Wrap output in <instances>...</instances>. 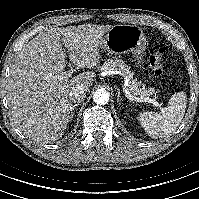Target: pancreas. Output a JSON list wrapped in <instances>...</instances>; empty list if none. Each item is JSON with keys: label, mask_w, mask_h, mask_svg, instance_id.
<instances>
[{"label": "pancreas", "mask_w": 199, "mask_h": 199, "mask_svg": "<svg viewBox=\"0 0 199 199\" xmlns=\"http://www.w3.org/2000/svg\"><path fill=\"white\" fill-rule=\"evenodd\" d=\"M101 70H113L119 71L122 75H124L128 80V91L133 95L146 97L150 95L152 92L147 91L145 88H141V84L137 82L133 77V73L130 71V67L126 65L122 60L119 59H108L106 60L102 66Z\"/></svg>", "instance_id": "1"}]
</instances>
